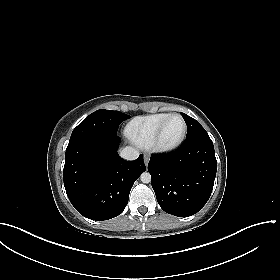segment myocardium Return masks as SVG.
I'll return each mask as SVG.
<instances>
[{"mask_svg": "<svg viewBox=\"0 0 280 280\" xmlns=\"http://www.w3.org/2000/svg\"><path fill=\"white\" fill-rule=\"evenodd\" d=\"M173 117H178L182 120L183 122V131L181 133V135L179 136L178 139H176L175 141L171 142V143H163L162 142V136L165 130V127L167 125V123L169 122V120ZM187 130H188V124L187 121L185 119V117L180 114V113H172L169 114L159 125L158 130L150 144L151 149L156 152V153H160V154H165V153H170L172 151H174L175 149H177L182 142L184 141L186 135H187Z\"/></svg>", "mask_w": 280, "mask_h": 280, "instance_id": "myocardium-1", "label": "myocardium"}]
</instances>
